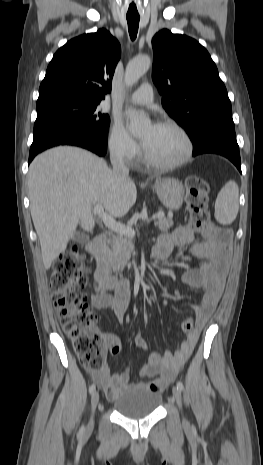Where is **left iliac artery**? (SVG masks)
<instances>
[{"mask_svg": "<svg viewBox=\"0 0 263 465\" xmlns=\"http://www.w3.org/2000/svg\"><path fill=\"white\" fill-rule=\"evenodd\" d=\"M177 386L180 388V390L184 389L183 383L181 381L177 382Z\"/></svg>", "mask_w": 263, "mask_h": 465, "instance_id": "obj_1", "label": "left iliac artery"}]
</instances>
